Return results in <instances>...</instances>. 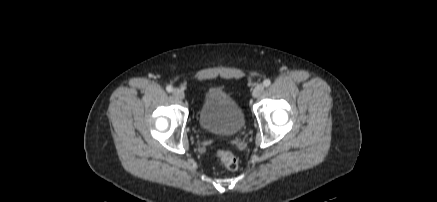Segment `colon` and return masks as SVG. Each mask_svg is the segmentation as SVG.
Segmentation results:
<instances>
[{
  "instance_id": "1",
  "label": "colon",
  "mask_w": 437,
  "mask_h": 202,
  "mask_svg": "<svg viewBox=\"0 0 437 202\" xmlns=\"http://www.w3.org/2000/svg\"><path fill=\"white\" fill-rule=\"evenodd\" d=\"M217 155L228 170L235 171L238 169L239 160L232 152L218 149Z\"/></svg>"
}]
</instances>
